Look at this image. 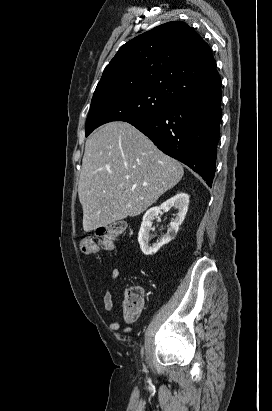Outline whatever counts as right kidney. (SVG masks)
Masks as SVG:
<instances>
[{"instance_id": "ca27d5eb", "label": "right kidney", "mask_w": 272, "mask_h": 411, "mask_svg": "<svg viewBox=\"0 0 272 411\" xmlns=\"http://www.w3.org/2000/svg\"><path fill=\"white\" fill-rule=\"evenodd\" d=\"M188 204L189 195L184 192H179L172 198L163 202L159 207H152L145 213L138 234V242L142 252L145 255L155 254L163 245L169 243L175 238L178 233L179 226L182 224L187 213ZM171 207L178 210L175 220L170 223L167 233L159 241H157V243L149 246V231L152 227L153 220L156 216H158L161 210L168 211Z\"/></svg>"}]
</instances>
